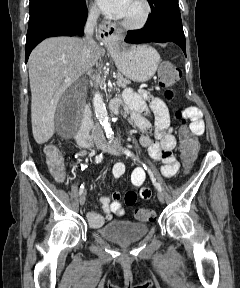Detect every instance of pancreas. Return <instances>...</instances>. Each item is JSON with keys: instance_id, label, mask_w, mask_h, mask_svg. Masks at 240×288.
Here are the masks:
<instances>
[{"instance_id": "cf45deb5", "label": "pancreas", "mask_w": 240, "mask_h": 288, "mask_svg": "<svg viewBox=\"0 0 240 288\" xmlns=\"http://www.w3.org/2000/svg\"><path fill=\"white\" fill-rule=\"evenodd\" d=\"M130 83L131 82L128 79H126L125 77H123V75L121 73L117 74V85L119 87L125 88Z\"/></svg>"}]
</instances>
